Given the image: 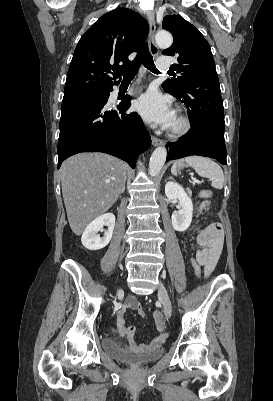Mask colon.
Listing matches in <instances>:
<instances>
[{
    "mask_svg": "<svg viewBox=\"0 0 273 401\" xmlns=\"http://www.w3.org/2000/svg\"><path fill=\"white\" fill-rule=\"evenodd\" d=\"M205 231L206 232L200 233L201 241H216L218 235L222 232V228L218 223H211L207 226V230ZM137 313L141 317L145 315L146 312L143 304L139 303L137 305Z\"/></svg>",
    "mask_w": 273,
    "mask_h": 401,
    "instance_id": "obj_1",
    "label": "colon"
}]
</instances>
